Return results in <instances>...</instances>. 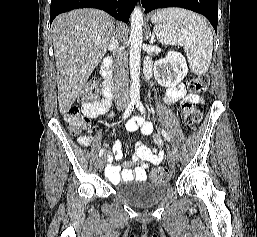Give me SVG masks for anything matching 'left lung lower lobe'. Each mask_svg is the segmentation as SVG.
<instances>
[{"label":"left lung lower lobe","instance_id":"left-lung-lower-lobe-1","mask_svg":"<svg viewBox=\"0 0 257 237\" xmlns=\"http://www.w3.org/2000/svg\"><path fill=\"white\" fill-rule=\"evenodd\" d=\"M145 13L157 8L181 7L204 15L217 31L218 1L217 0H141Z\"/></svg>","mask_w":257,"mask_h":237}]
</instances>
